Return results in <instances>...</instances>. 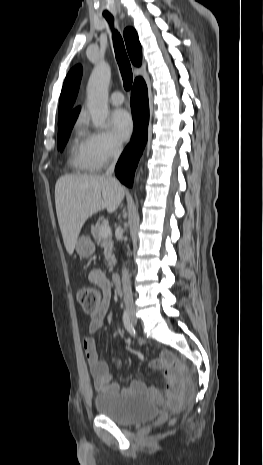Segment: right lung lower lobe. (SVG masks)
<instances>
[{
    "label": "right lung lower lobe",
    "instance_id": "obj_1",
    "mask_svg": "<svg viewBox=\"0 0 263 465\" xmlns=\"http://www.w3.org/2000/svg\"><path fill=\"white\" fill-rule=\"evenodd\" d=\"M131 108L134 121V132L115 167L118 179L128 187L133 184L135 169L148 138L149 102L148 91L144 80L136 78L131 92Z\"/></svg>",
    "mask_w": 263,
    "mask_h": 465
}]
</instances>
